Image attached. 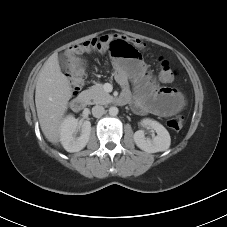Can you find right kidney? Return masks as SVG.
<instances>
[{
    "label": "right kidney",
    "mask_w": 227,
    "mask_h": 227,
    "mask_svg": "<svg viewBox=\"0 0 227 227\" xmlns=\"http://www.w3.org/2000/svg\"><path fill=\"white\" fill-rule=\"evenodd\" d=\"M79 127H81V135L79 137H75V133ZM90 133L91 123L89 121H84L79 125L78 120L72 115H69L61 124L60 141L66 151L78 152L88 143Z\"/></svg>",
    "instance_id": "1"
}]
</instances>
